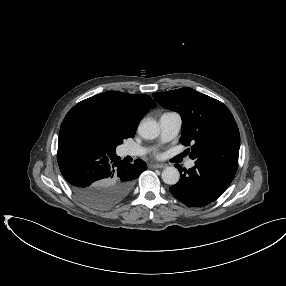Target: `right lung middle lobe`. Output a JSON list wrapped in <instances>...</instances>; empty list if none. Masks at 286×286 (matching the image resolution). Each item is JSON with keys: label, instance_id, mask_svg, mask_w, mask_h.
<instances>
[{"label": "right lung middle lobe", "instance_id": "obj_1", "mask_svg": "<svg viewBox=\"0 0 286 286\" xmlns=\"http://www.w3.org/2000/svg\"><path fill=\"white\" fill-rule=\"evenodd\" d=\"M63 122L96 141L109 154H115L116 146L123 142V139L112 136L109 125L102 118L88 111H69Z\"/></svg>", "mask_w": 286, "mask_h": 286}]
</instances>
